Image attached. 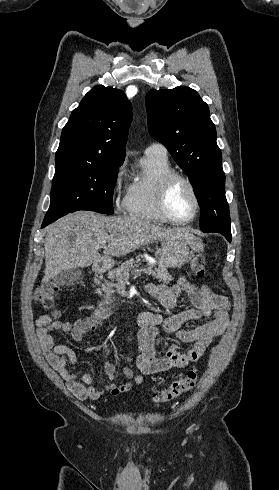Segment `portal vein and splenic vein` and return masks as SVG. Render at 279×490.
Listing matches in <instances>:
<instances>
[{"mask_svg":"<svg viewBox=\"0 0 279 490\" xmlns=\"http://www.w3.org/2000/svg\"><path fill=\"white\" fill-rule=\"evenodd\" d=\"M104 244H106V242H104ZM151 264H153V260H151Z\"/></svg>","mask_w":279,"mask_h":490,"instance_id":"18ae733b","label":"portal vein and splenic vein"}]
</instances>
